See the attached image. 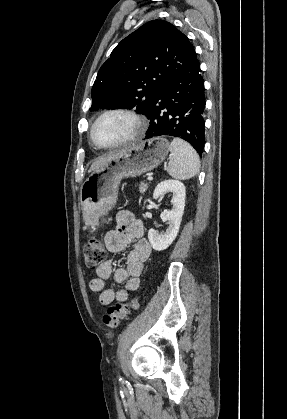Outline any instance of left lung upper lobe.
<instances>
[{
	"label": "left lung upper lobe",
	"instance_id": "left-lung-upper-lobe-1",
	"mask_svg": "<svg viewBox=\"0 0 287 419\" xmlns=\"http://www.w3.org/2000/svg\"><path fill=\"white\" fill-rule=\"evenodd\" d=\"M196 59L188 38L172 24L147 22L123 39L101 66L90 110L136 108L147 115L161 87Z\"/></svg>",
	"mask_w": 287,
	"mask_h": 419
}]
</instances>
